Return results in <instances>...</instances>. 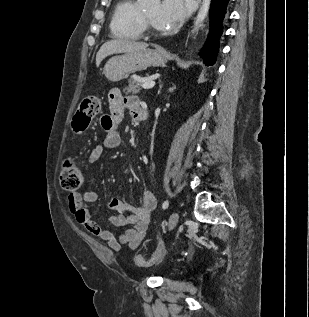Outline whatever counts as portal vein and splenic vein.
<instances>
[{"label": "portal vein and splenic vein", "mask_w": 309, "mask_h": 317, "mask_svg": "<svg viewBox=\"0 0 309 317\" xmlns=\"http://www.w3.org/2000/svg\"><path fill=\"white\" fill-rule=\"evenodd\" d=\"M155 86V81L153 80H146L141 84L143 89H151Z\"/></svg>", "instance_id": "portal-vein-and-splenic-vein-1"}]
</instances>
